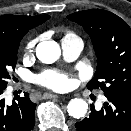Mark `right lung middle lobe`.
Returning <instances> with one entry per match:
<instances>
[{"label":"right lung middle lobe","instance_id":"dd1d6c3e","mask_svg":"<svg viewBox=\"0 0 131 131\" xmlns=\"http://www.w3.org/2000/svg\"><path fill=\"white\" fill-rule=\"evenodd\" d=\"M21 37L6 39L0 37V89L6 88L11 79L9 72L14 70L17 63V52Z\"/></svg>","mask_w":131,"mask_h":131}]
</instances>
